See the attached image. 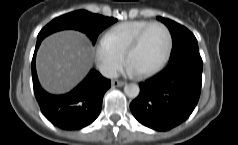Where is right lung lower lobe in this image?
I'll return each instance as SVG.
<instances>
[{
    "label": "right lung lower lobe",
    "mask_w": 238,
    "mask_h": 145,
    "mask_svg": "<svg viewBox=\"0 0 238 145\" xmlns=\"http://www.w3.org/2000/svg\"><path fill=\"white\" fill-rule=\"evenodd\" d=\"M41 41H37L32 59L33 88L41 112L53 125L61 129L79 130L86 127L98 117L103 96L111 86L110 80L91 70L68 94H48L39 84L35 67L36 52Z\"/></svg>",
    "instance_id": "1"
}]
</instances>
